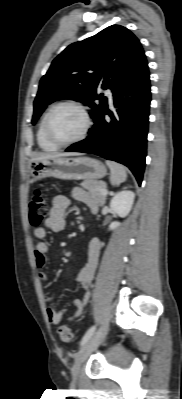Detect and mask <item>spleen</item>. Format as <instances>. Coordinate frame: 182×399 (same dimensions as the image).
<instances>
[{"instance_id":"1","label":"spleen","mask_w":182,"mask_h":399,"mask_svg":"<svg viewBox=\"0 0 182 399\" xmlns=\"http://www.w3.org/2000/svg\"><path fill=\"white\" fill-rule=\"evenodd\" d=\"M106 164L111 170L110 180L112 185H116L122 183L127 178L126 169L124 166L120 165L119 163L113 161H106Z\"/></svg>"}]
</instances>
